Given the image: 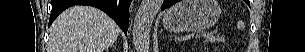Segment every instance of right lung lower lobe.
<instances>
[{
    "mask_svg": "<svg viewBox=\"0 0 305 52\" xmlns=\"http://www.w3.org/2000/svg\"><path fill=\"white\" fill-rule=\"evenodd\" d=\"M131 0H52V11L49 26L65 9L74 5H89L108 14L127 34L129 24V6Z\"/></svg>",
    "mask_w": 305,
    "mask_h": 52,
    "instance_id": "obj_1",
    "label": "right lung lower lobe"
}]
</instances>
